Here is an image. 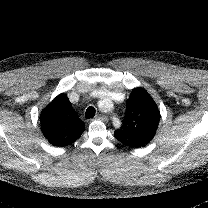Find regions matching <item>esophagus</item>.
<instances>
[{
    "mask_svg": "<svg viewBox=\"0 0 208 208\" xmlns=\"http://www.w3.org/2000/svg\"><path fill=\"white\" fill-rule=\"evenodd\" d=\"M95 120L107 121L108 119L106 116L99 114L95 116Z\"/></svg>",
    "mask_w": 208,
    "mask_h": 208,
    "instance_id": "34e87169",
    "label": "esophagus"
}]
</instances>
